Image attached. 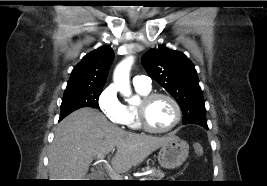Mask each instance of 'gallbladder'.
<instances>
[{"label":"gallbladder","mask_w":267,"mask_h":186,"mask_svg":"<svg viewBox=\"0 0 267 186\" xmlns=\"http://www.w3.org/2000/svg\"><path fill=\"white\" fill-rule=\"evenodd\" d=\"M91 176H92V174L87 175V177H91Z\"/></svg>","instance_id":"gallbladder-1"}]
</instances>
